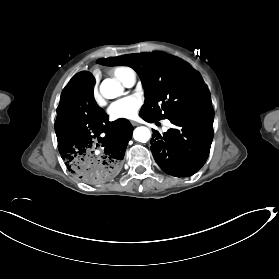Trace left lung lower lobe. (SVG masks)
<instances>
[{"instance_id":"1","label":"left lung lower lobe","mask_w":279,"mask_h":279,"mask_svg":"<svg viewBox=\"0 0 279 279\" xmlns=\"http://www.w3.org/2000/svg\"><path fill=\"white\" fill-rule=\"evenodd\" d=\"M154 122L148 116H142ZM213 109L170 119L178 128L161 135L153 130L151 151L159 167L167 174L187 177L196 173L206 162L213 138Z\"/></svg>"}]
</instances>
